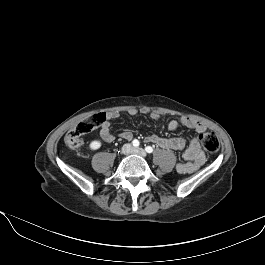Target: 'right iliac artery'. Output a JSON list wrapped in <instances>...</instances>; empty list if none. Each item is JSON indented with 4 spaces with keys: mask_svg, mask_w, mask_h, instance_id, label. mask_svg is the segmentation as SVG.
Listing matches in <instances>:
<instances>
[{
    "mask_svg": "<svg viewBox=\"0 0 265 265\" xmlns=\"http://www.w3.org/2000/svg\"><path fill=\"white\" fill-rule=\"evenodd\" d=\"M132 144H133L134 147H138L140 143H139V141L137 139H134L132 141Z\"/></svg>",
    "mask_w": 265,
    "mask_h": 265,
    "instance_id": "obj_1",
    "label": "right iliac artery"
}]
</instances>
